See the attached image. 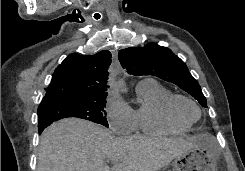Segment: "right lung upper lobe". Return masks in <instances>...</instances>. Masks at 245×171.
<instances>
[{
  "label": "right lung upper lobe",
  "mask_w": 245,
  "mask_h": 171,
  "mask_svg": "<svg viewBox=\"0 0 245 171\" xmlns=\"http://www.w3.org/2000/svg\"><path fill=\"white\" fill-rule=\"evenodd\" d=\"M111 53L70 54L55 69L41 103L56 99L94 98L107 94Z\"/></svg>",
  "instance_id": "cb5924a9"
}]
</instances>
